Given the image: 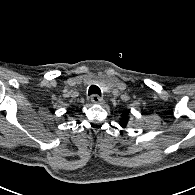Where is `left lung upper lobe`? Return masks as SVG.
<instances>
[{"mask_svg":"<svg viewBox=\"0 0 195 195\" xmlns=\"http://www.w3.org/2000/svg\"><path fill=\"white\" fill-rule=\"evenodd\" d=\"M127 125H128V111L127 112H124L121 115V118H120V126L122 128H126Z\"/></svg>","mask_w":195,"mask_h":195,"instance_id":"5c2ea615","label":"left lung upper lobe"}]
</instances>
